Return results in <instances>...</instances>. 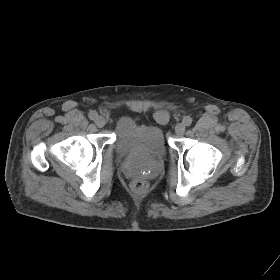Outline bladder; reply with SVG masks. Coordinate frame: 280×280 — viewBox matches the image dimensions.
<instances>
[{"label":"bladder","mask_w":280,"mask_h":280,"mask_svg":"<svg viewBox=\"0 0 280 280\" xmlns=\"http://www.w3.org/2000/svg\"><path fill=\"white\" fill-rule=\"evenodd\" d=\"M114 145L124 156L162 158L167 153L166 139L159 126L140 124L129 116L117 121Z\"/></svg>","instance_id":"obj_1"}]
</instances>
